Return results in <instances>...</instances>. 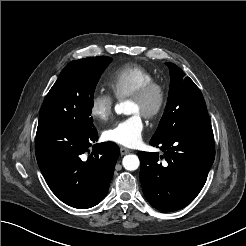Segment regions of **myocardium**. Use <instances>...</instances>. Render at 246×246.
Wrapping results in <instances>:
<instances>
[{
  "label": "myocardium",
  "mask_w": 246,
  "mask_h": 246,
  "mask_svg": "<svg viewBox=\"0 0 246 246\" xmlns=\"http://www.w3.org/2000/svg\"><path fill=\"white\" fill-rule=\"evenodd\" d=\"M142 106L141 114L148 120L157 119L164 111L167 102L165 87L156 81L149 82L130 96Z\"/></svg>",
  "instance_id": "f54148a6"
}]
</instances>
